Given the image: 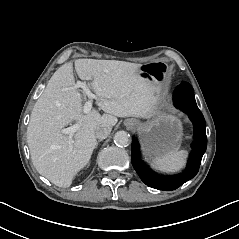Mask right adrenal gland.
Here are the masks:
<instances>
[{
    "mask_svg": "<svg viewBox=\"0 0 239 239\" xmlns=\"http://www.w3.org/2000/svg\"><path fill=\"white\" fill-rule=\"evenodd\" d=\"M101 141H102V139H100V140L97 141V146H98V143L101 142ZM97 146H96V147H97Z\"/></svg>",
    "mask_w": 239,
    "mask_h": 239,
    "instance_id": "1",
    "label": "right adrenal gland"
}]
</instances>
